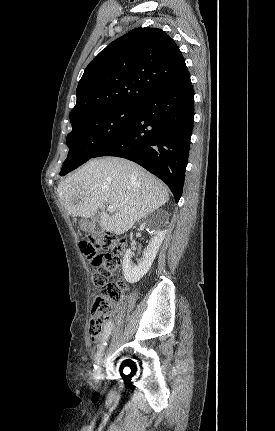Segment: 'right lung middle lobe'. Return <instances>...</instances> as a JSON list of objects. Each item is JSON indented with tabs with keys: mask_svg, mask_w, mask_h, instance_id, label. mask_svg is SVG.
Wrapping results in <instances>:
<instances>
[{
	"mask_svg": "<svg viewBox=\"0 0 275 431\" xmlns=\"http://www.w3.org/2000/svg\"><path fill=\"white\" fill-rule=\"evenodd\" d=\"M137 115V107L115 106L89 113L72 124L66 138L69 153L60 175L76 169L126 129Z\"/></svg>",
	"mask_w": 275,
	"mask_h": 431,
	"instance_id": "1",
	"label": "right lung middle lobe"
}]
</instances>
